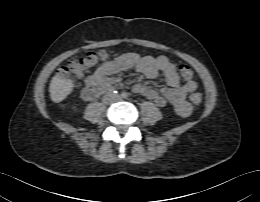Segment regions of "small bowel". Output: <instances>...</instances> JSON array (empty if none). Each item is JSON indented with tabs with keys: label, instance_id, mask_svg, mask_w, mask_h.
Listing matches in <instances>:
<instances>
[{
	"label": "small bowel",
	"instance_id": "c3829d8e",
	"mask_svg": "<svg viewBox=\"0 0 260 202\" xmlns=\"http://www.w3.org/2000/svg\"><path fill=\"white\" fill-rule=\"evenodd\" d=\"M131 68H135L148 79H154L159 73H162L167 84L166 87L156 90L145 84L136 83L133 86L135 94L150 99L159 107L170 103L182 117H188L191 114V107L185 101V97L197 88V84L191 81L181 85L175 64L164 55L153 57L141 56L135 53L121 54L101 65L87 79V87L111 84L118 79L122 71Z\"/></svg>",
	"mask_w": 260,
	"mask_h": 202
}]
</instances>
